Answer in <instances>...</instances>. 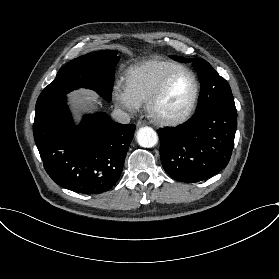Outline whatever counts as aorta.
<instances>
[{
  "mask_svg": "<svg viewBox=\"0 0 279 279\" xmlns=\"http://www.w3.org/2000/svg\"><path fill=\"white\" fill-rule=\"evenodd\" d=\"M137 142L145 148L154 147L158 142L157 133L151 127H143L137 133Z\"/></svg>",
  "mask_w": 279,
  "mask_h": 279,
  "instance_id": "obj_1",
  "label": "aorta"
}]
</instances>
